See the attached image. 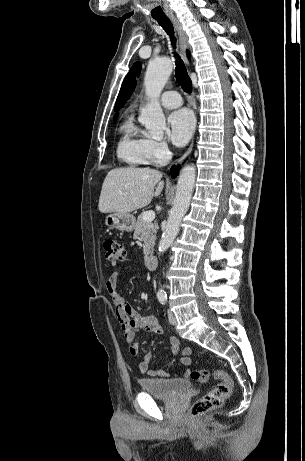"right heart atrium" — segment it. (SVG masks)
Returning a JSON list of instances; mask_svg holds the SVG:
<instances>
[{"instance_id":"right-heart-atrium-1","label":"right heart atrium","mask_w":305,"mask_h":461,"mask_svg":"<svg viewBox=\"0 0 305 461\" xmlns=\"http://www.w3.org/2000/svg\"><path fill=\"white\" fill-rule=\"evenodd\" d=\"M150 151L153 162L155 164H160L167 158L169 154V147L165 141L151 140Z\"/></svg>"}]
</instances>
